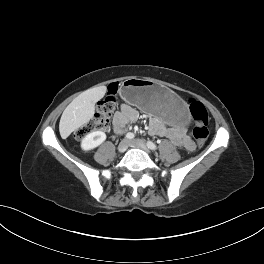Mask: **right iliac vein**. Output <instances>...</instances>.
<instances>
[{
	"label": "right iliac vein",
	"mask_w": 264,
	"mask_h": 264,
	"mask_svg": "<svg viewBox=\"0 0 264 264\" xmlns=\"http://www.w3.org/2000/svg\"><path fill=\"white\" fill-rule=\"evenodd\" d=\"M128 148V141L126 139L122 140L118 145V152L124 153Z\"/></svg>",
	"instance_id": "1"
}]
</instances>
